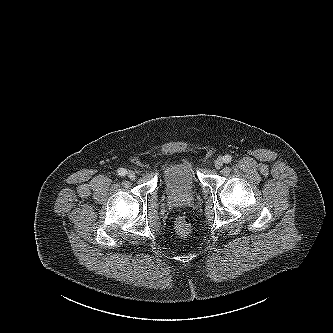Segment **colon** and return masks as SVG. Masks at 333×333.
Returning <instances> with one entry per match:
<instances>
[{
	"instance_id": "colon-1",
	"label": "colon",
	"mask_w": 333,
	"mask_h": 333,
	"mask_svg": "<svg viewBox=\"0 0 333 333\" xmlns=\"http://www.w3.org/2000/svg\"><path fill=\"white\" fill-rule=\"evenodd\" d=\"M175 229L180 235H188L192 231V222L189 217L181 215L175 222Z\"/></svg>"
}]
</instances>
